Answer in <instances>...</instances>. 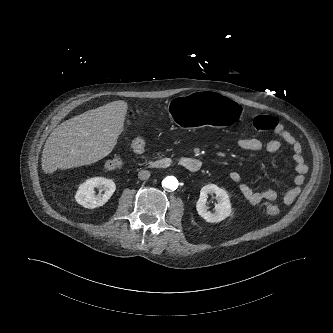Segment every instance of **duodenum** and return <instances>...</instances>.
Wrapping results in <instances>:
<instances>
[{
    "instance_id": "obj_1",
    "label": "duodenum",
    "mask_w": 333,
    "mask_h": 333,
    "mask_svg": "<svg viewBox=\"0 0 333 333\" xmlns=\"http://www.w3.org/2000/svg\"><path fill=\"white\" fill-rule=\"evenodd\" d=\"M173 165H177L191 173H196L202 168L201 160L196 157H182L175 161L169 158H161L151 163V167L155 169H167Z\"/></svg>"
}]
</instances>
